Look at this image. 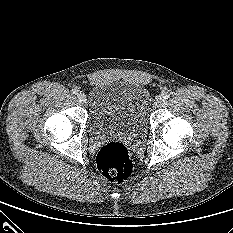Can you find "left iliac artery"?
<instances>
[{
  "instance_id": "left-iliac-artery-1",
  "label": "left iliac artery",
  "mask_w": 233,
  "mask_h": 233,
  "mask_svg": "<svg viewBox=\"0 0 233 233\" xmlns=\"http://www.w3.org/2000/svg\"><path fill=\"white\" fill-rule=\"evenodd\" d=\"M169 97H170V94H169V93H166V94L163 95V98H164V99H168Z\"/></svg>"
}]
</instances>
